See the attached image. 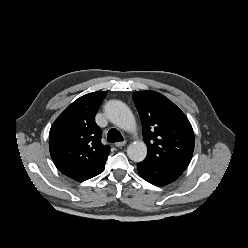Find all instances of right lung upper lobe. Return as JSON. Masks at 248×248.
<instances>
[{
    "instance_id": "right-lung-upper-lobe-1",
    "label": "right lung upper lobe",
    "mask_w": 248,
    "mask_h": 248,
    "mask_svg": "<svg viewBox=\"0 0 248 248\" xmlns=\"http://www.w3.org/2000/svg\"><path fill=\"white\" fill-rule=\"evenodd\" d=\"M106 92L86 94L69 105L49 132V150L64 175L82 182L101 173L110 147L101 143L94 117Z\"/></svg>"
}]
</instances>
